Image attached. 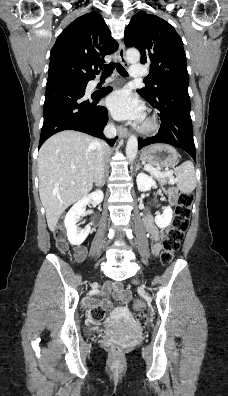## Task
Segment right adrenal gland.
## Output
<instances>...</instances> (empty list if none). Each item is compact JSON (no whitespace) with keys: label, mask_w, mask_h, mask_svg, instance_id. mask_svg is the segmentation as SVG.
Here are the masks:
<instances>
[{"label":"right adrenal gland","mask_w":228,"mask_h":396,"mask_svg":"<svg viewBox=\"0 0 228 396\" xmlns=\"http://www.w3.org/2000/svg\"><path fill=\"white\" fill-rule=\"evenodd\" d=\"M104 178H105V175H104ZM105 183V179L103 180V184Z\"/></svg>","instance_id":"right-adrenal-gland-1"}]
</instances>
